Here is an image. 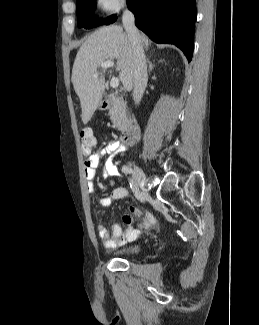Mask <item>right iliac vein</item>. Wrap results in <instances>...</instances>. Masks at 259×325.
I'll return each instance as SVG.
<instances>
[{
  "label": "right iliac vein",
  "mask_w": 259,
  "mask_h": 325,
  "mask_svg": "<svg viewBox=\"0 0 259 325\" xmlns=\"http://www.w3.org/2000/svg\"><path fill=\"white\" fill-rule=\"evenodd\" d=\"M130 165L133 168V176L137 181L138 187L140 188V190L144 193L145 192V175L143 173V171L135 164V163H130Z\"/></svg>",
  "instance_id": "right-iliac-vein-1"
}]
</instances>
